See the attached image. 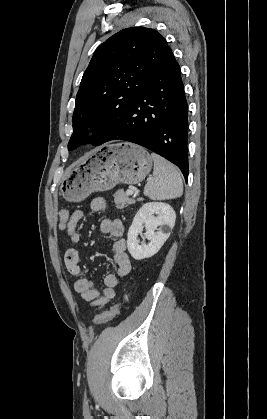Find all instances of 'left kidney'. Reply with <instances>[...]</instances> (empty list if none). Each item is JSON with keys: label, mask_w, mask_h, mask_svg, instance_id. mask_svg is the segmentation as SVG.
I'll list each match as a JSON object with an SVG mask.
<instances>
[{"label": "left kidney", "mask_w": 267, "mask_h": 419, "mask_svg": "<svg viewBox=\"0 0 267 419\" xmlns=\"http://www.w3.org/2000/svg\"><path fill=\"white\" fill-rule=\"evenodd\" d=\"M175 219V211L167 203L149 202L143 204L128 230L127 248L131 256L135 260H142L155 255L170 236ZM143 224L146 228L144 236L150 242L140 245L138 235L142 234Z\"/></svg>", "instance_id": "1"}]
</instances>
